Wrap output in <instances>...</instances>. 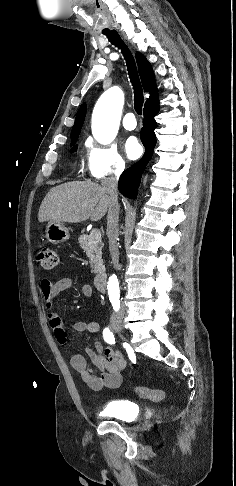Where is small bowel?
I'll use <instances>...</instances> for the list:
<instances>
[{
    "instance_id": "c3829d8e",
    "label": "small bowel",
    "mask_w": 236,
    "mask_h": 486,
    "mask_svg": "<svg viewBox=\"0 0 236 486\" xmlns=\"http://www.w3.org/2000/svg\"><path fill=\"white\" fill-rule=\"evenodd\" d=\"M40 286L44 306L50 311L53 309L54 298L70 289L73 286V280L68 277L59 279L56 282L43 279ZM81 292L85 296H91L93 289L88 284H82ZM48 319L57 339L64 343L66 335L62 318L57 313L50 312ZM72 329L76 332L97 333L100 330V324L96 321L77 320L73 323ZM85 352L92 364L100 370V373L96 374L93 371L82 354L76 353L72 355L70 359L71 366L79 373L83 382L94 391L119 387L122 382L121 373L126 368V361L123 356L111 348H104L99 342H95L94 348H86Z\"/></svg>"
}]
</instances>
